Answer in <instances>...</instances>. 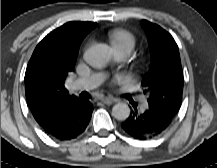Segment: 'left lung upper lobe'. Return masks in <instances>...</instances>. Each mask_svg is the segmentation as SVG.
I'll return each instance as SVG.
<instances>
[{"label":"left lung upper lobe","mask_w":217,"mask_h":168,"mask_svg":"<svg viewBox=\"0 0 217 168\" xmlns=\"http://www.w3.org/2000/svg\"><path fill=\"white\" fill-rule=\"evenodd\" d=\"M151 54V66L142 80L148 102L165 106L176 113L183 90V73L178 46L173 37L160 26L141 21Z\"/></svg>","instance_id":"5c2ea615"}]
</instances>
